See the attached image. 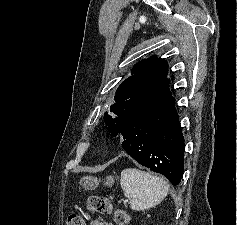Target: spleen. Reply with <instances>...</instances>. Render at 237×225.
I'll return each mask as SVG.
<instances>
[{
	"instance_id": "obj_1",
	"label": "spleen",
	"mask_w": 237,
	"mask_h": 225,
	"mask_svg": "<svg viewBox=\"0 0 237 225\" xmlns=\"http://www.w3.org/2000/svg\"><path fill=\"white\" fill-rule=\"evenodd\" d=\"M120 184L135 211H144L159 204L168 194L164 178L151 173L127 168L121 172Z\"/></svg>"
}]
</instances>
